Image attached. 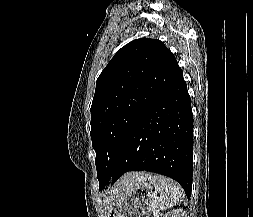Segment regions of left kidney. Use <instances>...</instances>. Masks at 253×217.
<instances>
[{
    "label": "left kidney",
    "instance_id": "1",
    "mask_svg": "<svg viewBox=\"0 0 253 217\" xmlns=\"http://www.w3.org/2000/svg\"><path fill=\"white\" fill-rule=\"evenodd\" d=\"M163 217H186V216L185 212L182 209H176L167 212Z\"/></svg>",
    "mask_w": 253,
    "mask_h": 217
}]
</instances>
